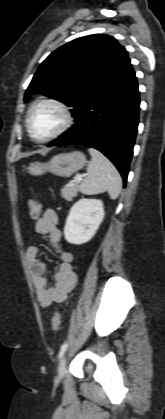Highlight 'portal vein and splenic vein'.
I'll list each match as a JSON object with an SVG mask.
<instances>
[{"label": "portal vein and splenic vein", "instance_id": "portal-vein-and-splenic-vein-1", "mask_svg": "<svg viewBox=\"0 0 165 419\" xmlns=\"http://www.w3.org/2000/svg\"><path fill=\"white\" fill-rule=\"evenodd\" d=\"M81 180H82V177L81 176H77V177H75L74 182L79 183ZM69 184H72V183H69Z\"/></svg>", "mask_w": 165, "mask_h": 419}]
</instances>
